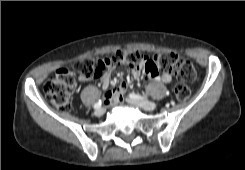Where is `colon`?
I'll return each mask as SVG.
<instances>
[{
	"instance_id": "1",
	"label": "colon",
	"mask_w": 245,
	"mask_h": 170,
	"mask_svg": "<svg viewBox=\"0 0 245 170\" xmlns=\"http://www.w3.org/2000/svg\"><path fill=\"white\" fill-rule=\"evenodd\" d=\"M159 59L143 53L125 51L118 55L103 58L100 60L86 59L78 65V73L86 79L99 77L104 71L109 70L115 63L125 62L129 66L141 65L147 71L156 68ZM161 63L168 68L179 84L178 94H185L188 91L186 83L193 80L195 71L191 63L184 57L170 54L161 60ZM78 76L67 70H61L52 75L44 84L46 96L60 108H67L71 102V96L77 84Z\"/></svg>"
}]
</instances>
